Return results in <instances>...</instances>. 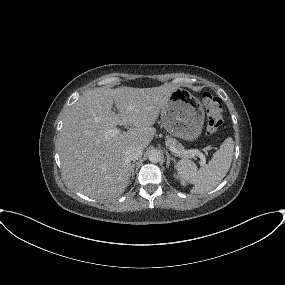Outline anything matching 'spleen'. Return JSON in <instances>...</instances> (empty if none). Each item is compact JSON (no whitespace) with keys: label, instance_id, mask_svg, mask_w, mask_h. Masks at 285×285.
Segmentation results:
<instances>
[{"label":"spleen","instance_id":"obj_1","mask_svg":"<svg viewBox=\"0 0 285 285\" xmlns=\"http://www.w3.org/2000/svg\"><path fill=\"white\" fill-rule=\"evenodd\" d=\"M233 139L228 137L207 165L197 169L193 161L183 159L176 165L181 179L194 185L191 193L204 194L214 189L226 176L233 158Z\"/></svg>","mask_w":285,"mask_h":285}]
</instances>
